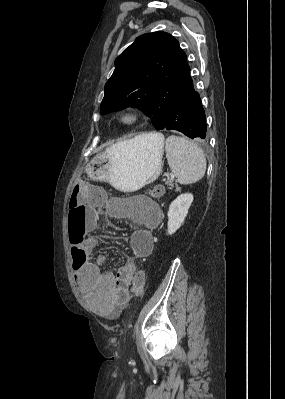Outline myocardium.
<instances>
[{
    "instance_id": "obj_1",
    "label": "myocardium",
    "mask_w": 285,
    "mask_h": 399,
    "mask_svg": "<svg viewBox=\"0 0 285 399\" xmlns=\"http://www.w3.org/2000/svg\"><path fill=\"white\" fill-rule=\"evenodd\" d=\"M142 117V112L136 107H128L122 110L118 120L124 126H132L136 124Z\"/></svg>"
}]
</instances>
